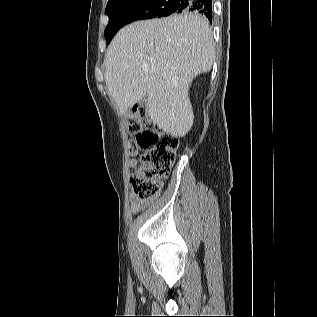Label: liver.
I'll use <instances>...</instances> for the list:
<instances>
[{
    "label": "liver",
    "mask_w": 317,
    "mask_h": 317,
    "mask_svg": "<svg viewBox=\"0 0 317 317\" xmlns=\"http://www.w3.org/2000/svg\"><path fill=\"white\" fill-rule=\"evenodd\" d=\"M215 47L208 21L191 13L129 24L105 55V82L124 116L137 102L164 132L184 137L194 121L193 79L209 72Z\"/></svg>",
    "instance_id": "liver-1"
}]
</instances>
